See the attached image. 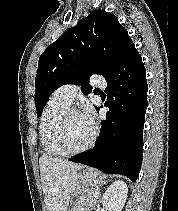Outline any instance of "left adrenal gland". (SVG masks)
<instances>
[{
	"label": "left adrenal gland",
	"instance_id": "obj_1",
	"mask_svg": "<svg viewBox=\"0 0 178 211\" xmlns=\"http://www.w3.org/2000/svg\"><path fill=\"white\" fill-rule=\"evenodd\" d=\"M108 182L107 181H101V183L99 184V195H98V198H97V202H100V197H101V188Z\"/></svg>",
	"mask_w": 178,
	"mask_h": 211
}]
</instances>
